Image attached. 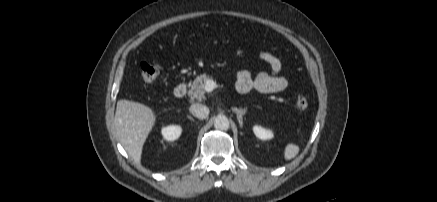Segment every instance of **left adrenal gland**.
I'll use <instances>...</instances> for the list:
<instances>
[{
	"instance_id": "obj_1",
	"label": "left adrenal gland",
	"mask_w": 437,
	"mask_h": 202,
	"mask_svg": "<svg viewBox=\"0 0 437 202\" xmlns=\"http://www.w3.org/2000/svg\"><path fill=\"white\" fill-rule=\"evenodd\" d=\"M232 111L235 112L237 114V119L239 122L240 127H243V115H245V113L247 112V108L244 109H239L237 107H233Z\"/></svg>"
}]
</instances>
